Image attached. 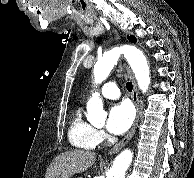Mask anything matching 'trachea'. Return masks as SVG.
Listing matches in <instances>:
<instances>
[{"label": "trachea", "instance_id": "obj_1", "mask_svg": "<svg viewBox=\"0 0 194 178\" xmlns=\"http://www.w3.org/2000/svg\"><path fill=\"white\" fill-rule=\"evenodd\" d=\"M126 88H127L128 91H132V89H133L132 83L131 82H127L126 83Z\"/></svg>", "mask_w": 194, "mask_h": 178}]
</instances>
